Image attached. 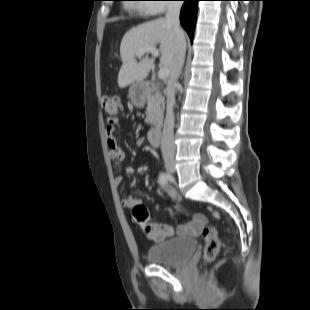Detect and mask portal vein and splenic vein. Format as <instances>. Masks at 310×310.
Returning <instances> with one entry per match:
<instances>
[{
	"instance_id": "portal-vein-and-splenic-vein-1",
	"label": "portal vein and splenic vein",
	"mask_w": 310,
	"mask_h": 310,
	"mask_svg": "<svg viewBox=\"0 0 310 310\" xmlns=\"http://www.w3.org/2000/svg\"><path fill=\"white\" fill-rule=\"evenodd\" d=\"M145 53H150L154 57H157L159 55V51L156 49V47H146L142 49L139 53H137V57H142ZM169 76V69L167 67H161L158 72V77L160 79H166Z\"/></svg>"
}]
</instances>
